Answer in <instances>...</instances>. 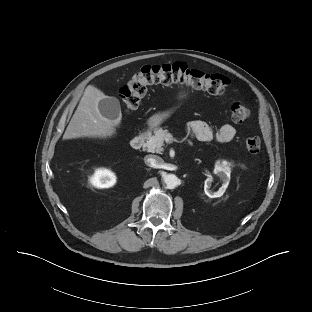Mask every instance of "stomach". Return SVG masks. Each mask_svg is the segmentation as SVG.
Returning <instances> with one entry per match:
<instances>
[{"label":"stomach","instance_id":"obj_1","mask_svg":"<svg viewBox=\"0 0 312 312\" xmlns=\"http://www.w3.org/2000/svg\"><path fill=\"white\" fill-rule=\"evenodd\" d=\"M189 93L190 92L188 90L181 89L180 91L177 92L176 97L179 101H181L183 99H186L189 96ZM174 110L175 108L155 113L153 116L150 117L148 121L149 126L151 128H154V127L161 125L171 116Z\"/></svg>","mask_w":312,"mask_h":312}]
</instances>
